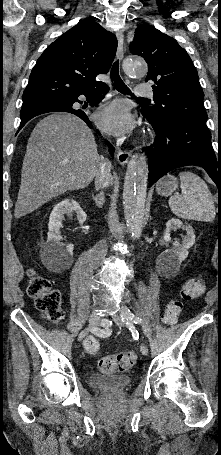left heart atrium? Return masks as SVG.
<instances>
[{
  "label": "left heart atrium",
  "instance_id": "obj_1",
  "mask_svg": "<svg viewBox=\"0 0 221 455\" xmlns=\"http://www.w3.org/2000/svg\"><path fill=\"white\" fill-rule=\"evenodd\" d=\"M97 123L109 134L123 135L132 128L133 119L124 104L114 102L97 114Z\"/></svg>",
  "mask_w": 221,
  "mask_h": 455
}]
</instances>
